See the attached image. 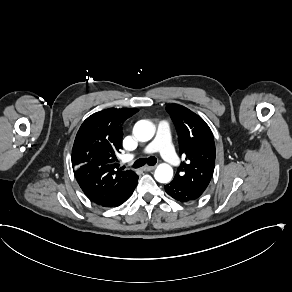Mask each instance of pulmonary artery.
<instances>
[{"label":"pulmonary artery","mask_w":292,"mask_h":292,"mask_svg":"<svg viewBox=\"0 0 292 292\" xmlns=\"http://www.w3.org/2000/svg\"><path fill=\"white\" fill-rule=\"evenodd\" d=\"M172 125L173 122L170 118L168 117L163 118L159 123V126L162 130H160L157 133L154 142L147 144L144 147V149L140 148L139 150H134L131 153V156L134 159H138L139 157H143L144 155L149 156L152 153V151L157 149L159 151H162L161 155L169 165L171 166L176 165L179 161V158L174 153L175 147L173 145L172 140L170 139L172 137V131L170 130Z\"/></svg>","instance_id":"pulmonary-artery-1"}]
</instances>
